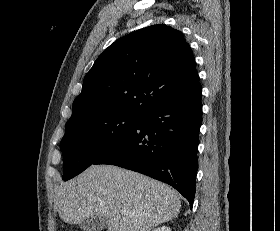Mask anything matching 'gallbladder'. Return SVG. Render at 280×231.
<instances>
[{
	"instance_id": "bac80fb5",
	"label": "gallbladder",
	"mask_w": 280,
	"mask_h": 231,
	"mask_svg": "<svg viewBox=\"0 0 280 231\" xmlns=\"http://www.w3.org/2000/svg\"><path fill=\"white\" fill-rule=\"evenodd\" d=\"M79 225L81 229H84V231H101V229L106 227V221L104 217H101V215H96V217L84 219V221H81Z\"/></svg>"
}]
</instances>
